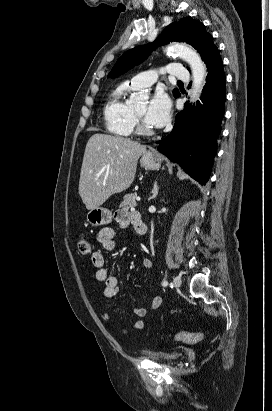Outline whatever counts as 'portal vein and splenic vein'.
I'll use <instances>...</instances> for the list:
<instances>
[{"instance_id":"1","label":"portal vein and splenic vein","mask_w":272,"mask_h":411,"mask_svg":"<svg viewBox=\"0 0 272 411\" xmlns=\"http://www.w3.org/2000/svg\"><path fill=\"white\" fill-rule=\"evenodd\" d=\"M136 200H137V201H140V200H141V198L138 196V197H136Z\"/></svg>"}]
</instances>
